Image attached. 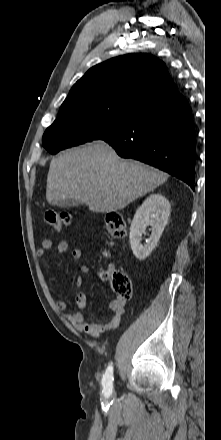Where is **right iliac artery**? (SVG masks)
I'll list each match as a JSON object with an SVG mask.
<instances>
[{
    "label": "right iliac artery",
    "mask_w": 221,
    "mask_h": 440,
    "mask_svg": "<svg viewBox=\"0 0 221 440\" xmlns=\"http://www.w3.org/2000/svg\"><path fill=\"white\" fill-rule=\"evenodd\" d=\"M113 366L109 365L102 379L103 391L106 397H109L113 392Z\"/></svg>",
    "instance_id": "right-iliac-artery-1"
}]
</instances>
